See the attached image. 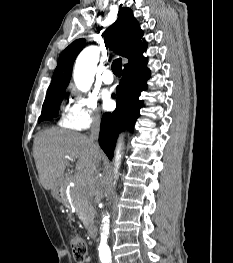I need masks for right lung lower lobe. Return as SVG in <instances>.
Returning <instances> with one entry per match:
<instances>
[{"label":"right lung lower lobe","mask_w":233,"mask_h":263,"mask_svg":"<svg viewBox=\"0 0 233 263\" xmlns=\"http://www.w3.org/2000/svg\"><path fill=\"white\" fill-rule=\"evenodd\" d=\"M147 60L124 67L120 85L117 87V106L113 113L102 116L99 144L111 160L118 134L122 129H132V124L139 117L143 101L139 100L141 92L146 89V80L150 70L146 67Z\"/></svg>","instance_id":"obj_1"}]
</instances>
